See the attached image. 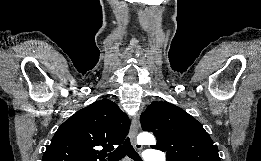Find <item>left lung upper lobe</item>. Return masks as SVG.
Listing matches in <instances>:
<instances>
[{
	"mask_svg": "<svg viewBox=\"0 0 261 161\" xmlns=\"http://www.w3.org/2000/svg\"><path fill=\"white\" fill-rule=\"evenodd\" d=\"M140 121L142 129L157 138L152 148L166 151L168 161H221L217 146L203 126L174 104L152 102Z\"/></svg>",
	"mask_w": 261,
	"mask_h": 161,
	"instance_id": "left-lung-upper-lobe-1",
	"label": "left lung upper lobe"
}]
</instances>
